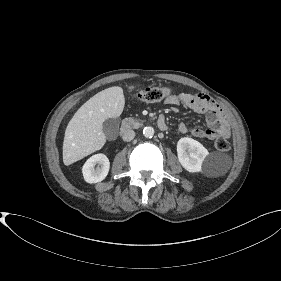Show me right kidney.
<instances>
[{
	"label": "right kidney",
	"instance_id": "ca27d5eb",
	"mask_svg": "<svg viewBox=\"0 0 281 281\" xmlns=\"http://www.w3.org/2000/svg\"><path fill=\"white\" fill-rule=\"evenodd\" d=\"M110 169V162L106 155L95 154L83 165L82 173L87 183H98L106 178Z\"/></svg>",
	"mask_w": 281,
	"mask_h": 281
}]
</instances>
